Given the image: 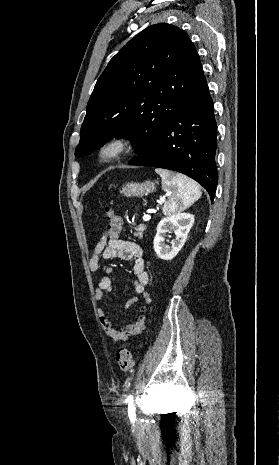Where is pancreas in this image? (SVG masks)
Returning <instances> with one entry per match:
<instances>
[{"mask_svg":"<svg viewBox=\"0 0 279 465\" xmlns=\"http://www.w3.org/2000/svg\"><path fill=\"white\" fill-rule=\"evenodd\" d=\"M145 229H146V225H144V224L138 225L137 227L134 228V230H135L134 236L142 238L143 237V232L145 231Z\"/></svg>","mask_w":279,"mask_h":465,"instance_id":"1","label":"pancreas"}]
</instances>
